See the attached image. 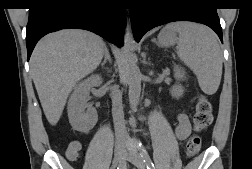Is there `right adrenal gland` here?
I'll use <instances>...</instances> for the list:
<instances>
[{
	"mask_svg": "<svg viewBox=\"0 0 252 169\" xmlns=\"http://www.w3.org/2000/svg\"><path fill=\"white\" fill-rule=\"evenodd\" d=\"M107 62L112 63V60H111V56H110V53H109V49H108L107 46H105V48H104V60H103V62H102V64H101L102 68H104V66H105V64H106ZM107 70H108V69H107Z\"/></svg>",
	"mask_w": 252,
	"mask_h": 169,
	"instance_id": "2a0ac1e0",
	"label": "right adrenal gland"
}]
</instances>
